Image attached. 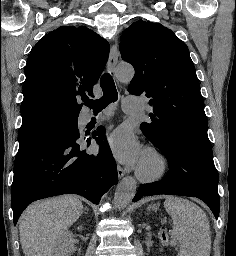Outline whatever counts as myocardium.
Here are the masks:
<instances>
[{
	"instance_id": "f54148a6",
	"label": "myocardium",
	"mask_w": 236,
	"mask_h": 256,
	"mask_svg": "<svg viewBox=\"0 0 236 256\" xmlns=\"http://www.w3.org/2000/svg\"><path fill=\"white\" fill-rule=\"evenodd\" d=\"M144 156L152 159L153 168L147 171L139 164L135 172L136 178L147 184L161 181L170 168L166 155L157 147L149 146L146 148Z\"/></svg>"
}]
</instances>
